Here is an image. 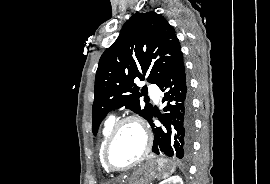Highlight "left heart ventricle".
Returning <instances> with one entry per match:
<instances>
[{"mask_svg":"<svg viewBox=\"0 0 270 184\" xmlns=\"http://www.w3.org/2000/svg\"><path fill=\"white\" fill-rule=\"evenodd\" d=\"M145 139L140 127L126 123L119 130L109 151V161L116 167H123L135 161L143 152Z\"/></svg>","mask_w":270,"mask_h":184,"instance_id":"b2bd125f","label":"left heart ventricle"}]
</instances>
